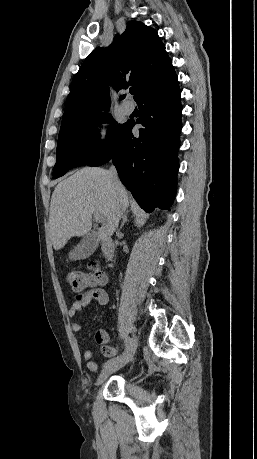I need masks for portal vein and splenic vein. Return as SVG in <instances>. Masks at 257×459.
Instances as JSON below:
<instances>
[{"mask_svg":"<svg viewBox=\"0 0 257 459\" xmlns=\"http://www.w3.org/2000/svg\"><path fill=\"white\" fill-rule=\"evenodd\" d=\"M94 219L96 222H102V217L99 216L98 214H94Z\"/></svg>","mask_w":257,"mask_h":459,"instance_id":"18ae733b","label":"portal vein and splenic vein"}]
</instances>
